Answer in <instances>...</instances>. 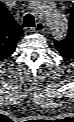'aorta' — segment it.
Instances as JSON below:
<instances>
[{
	"instance_id": "1",
	"label": "aorta",
	"mask_w": 74,
	"mask_h": 122,
	"mask_svg": "<svg viewBox=\"0 0 74 122\" xmlns=\"http://www.w3.org/2000/svg\"><path fill=\"white\" fill-rule=\"evenodd\" d=\"M31 10L47 26L52 38L63 41L68 33V18L61 13L52 1H31Z\"/></svg>"
}]
</instances>
